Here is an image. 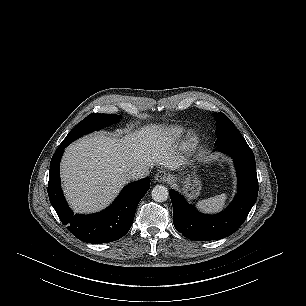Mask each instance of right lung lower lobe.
<instances>
[{
	"mask_svg": "<svg viewBox=\"0 0 306 306\" xmlns=\"http://www.w3.org/2000/svg\"><path fill=\"white\" fill-rule=\"evenodd\" d=\"M67 146L60 144L50 162V203L61 222L79 240L100 244L120 239L131 228L137 205L150 188V179L144 178L125 186L116 200L100 213L74 215L63 196L59 176L60 160Z\"/></svg>",
	"mask_w": 306,
	"mask_h": 306,
	"instance_id": "obj_1",
	"label": "right lung lower lobe"
}]
</instances>
